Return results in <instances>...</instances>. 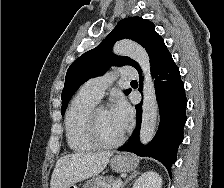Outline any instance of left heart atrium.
Here are the masks:
<instances>
[{
  "mask_svg": "<svg viewBox=\"0 0 224 188\" xmlns=\"http://www.w3.org/2000/svg\"><path fill=\"white\" fill-rule=\"evenodd\" d=\"M110 111L124 129L129 126L132 119V110L124 99H118Z\"/></svg>",
  "mask_w": 224,
  "mask_h": 188,
  "instance_id": "1",
  "label": "left heart atrium"
}]
</instances>
